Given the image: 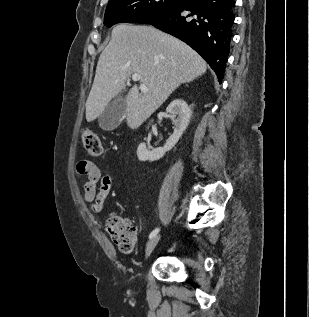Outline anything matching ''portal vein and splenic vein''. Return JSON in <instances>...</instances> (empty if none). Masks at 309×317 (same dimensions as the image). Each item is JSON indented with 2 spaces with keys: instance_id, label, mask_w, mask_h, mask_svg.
<instances>
[{
  "instance_id": "portal-vein-and-splenic-vein-1",
  "label": "portal vein and splenic vein",
  "mask_w": 309,
  "mask_h": 317,
  "mask_svg": "<svg viewBox=\"0 0 309 317\" xmlns=\"http://www.w3.org/2000/svg\"><path fill=\"white\" fill-rule=\"evenodd\" d=\"M140 75L139 74H133L132 75V80L133 81H139L140 80ZM140 90L141 91H147L148 89H147V86L145 85V84H140Z\"/></svg>"
}]
</instances>
